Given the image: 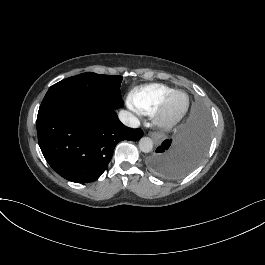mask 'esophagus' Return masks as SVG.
Segmentation results:
<instances>
[{
    "label": "esophagus",
    "mask_w": 265,
    "mask_h": 265,
    "mask_svg": "<svg viewBox=\"0 0 265 265\" xmlns=\"http://www.w3.org/2000/svg\"><path fill=\"white\" fill-rule=\"evenodd\" d=\"M149 136L154 139L156 144H160L164 138V135L162 132H150Z\"/></svg>",
    "instance_id": "34e87169"
}]
</instances>
